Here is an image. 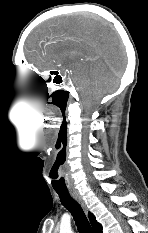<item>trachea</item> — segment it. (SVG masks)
I'll list each match as a JSON object with an SVG mask.
<instances>
[{
  "label": "trachea",
  "instance_id": "obj_1",
  "mask_svg": "<svg viewBox=\"0 0 148 233\" xmlns=\"http://www.w3.org/2000/svg\"><path fill=\"white\" fill-rule=\"evenodd\" d=\"M62 205L72 214L80 233H93L90 223L80 204L69 194L68 191H56Z\"/></svg>",
  "mask_w": 148,
  "mask_h": 233
}]
</instances>
